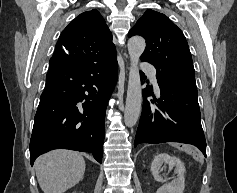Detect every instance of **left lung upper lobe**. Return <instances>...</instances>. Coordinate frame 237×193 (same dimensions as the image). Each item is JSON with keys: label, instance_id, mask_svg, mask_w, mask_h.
<instances>
[{"label": "left lung upper lobe", "instance_id": "left-lung-upper-lobe-1", "mask_svg": "<svg viewBox=\"0 0 237 193\" xmlns=\"http://www.w3.org/2000/svg\"><path fill=\"white\" fill-rule=\"evenodd\" d=\"M143 36L141 59L155 66L157 74L181 82H195L191 53L182 31L164 14L148 9L128 36Z\"/></svg>", "mask_w": 237, "mask_h": 193}]
</instances>
